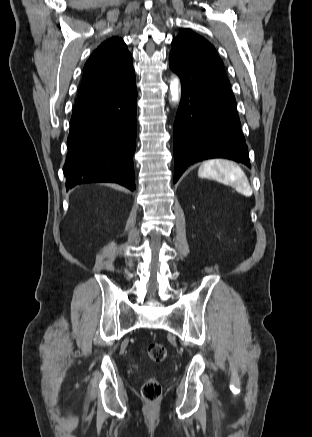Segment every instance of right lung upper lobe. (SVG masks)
Returning <instances> with one entry per match:
<instances>
[{
  "instance_id": "1",
  "label": "right lung upper lobe",
  "mask_w": 312,
  "mask_h": 437,
  "mask_svg": "<svg viewBox=\"0 0 312 437\" xmlns=\"http://www.w3.org/2000/svg\"><path fill=\"white\" fill-rule=\"evenodd\" d=\"M132 75V56L121 38L103 42L84 66L75 106L96 100L122 86Z\"/></svg>"
}]
</instances>
